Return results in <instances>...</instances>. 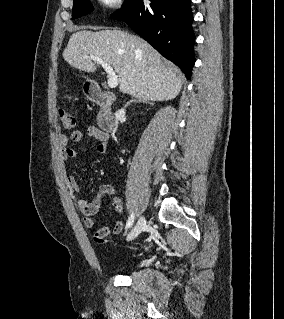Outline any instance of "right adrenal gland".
Returning a JSON list of instances; mask_svg holds the SVG:
<instances>
[{
  "label": "right adrenal gland",
  "mask_w": 284,
  "mask_h": 319,
  "mask_svg": "<svg viewBox=\"0 0 284 319\" xmlns=\"http://www.w3.org/2000/svg\"><path fill=\"white\" fill-rule=\"evenodd\" d=\"M133 102H143V103H149V101H146L145 99H142V98H135V99H132L130 100L129 102L126 103L125 107H127L128 105H130L131 103ZM150 105H153L154 103L153 102H150L149 103Z\"/></svg>",
  "instance_id": "obj_1"
}]
</instances>
